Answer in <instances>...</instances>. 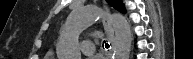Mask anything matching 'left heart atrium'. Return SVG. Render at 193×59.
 I'll list each match as a JSON object with an SVG mask.
<instances>
[{"label":"left heart atrium","mask_w":193,"mask_h":59,"mask_svg":"<svg viewBox=\"0 0 193 59\" xmlns=\"http://www.w3.org/2000/svg\"><path fill=\"white\" fill-rule=\"evenodd\" d=\"M89 59H100V58L97 56H93V57H90Z\"/></svg>","instance_id":"left-heart-atrium-1"}]
</instances>
